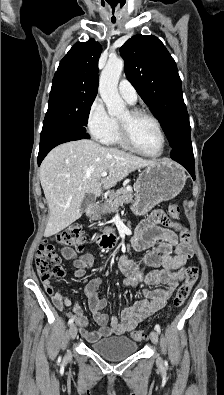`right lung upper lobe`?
<instances>
[{
	"instance_id": "1",
	"label": "right lung upper lobe",
	"mask_w": 224,
	"mask_h": 395,
	"mask_svg": "<svg viewBox=\"0 0 224 395\" xmlns=\"http://www.w3.org/2000/svg\"><path fill=\"white\" fill-rule=\"evenodd\" d=\"M101 45L94 39L78 42L60 61L53 81H62L85 88L98 89V59Z\"/></svg>"
}]
</instances>
